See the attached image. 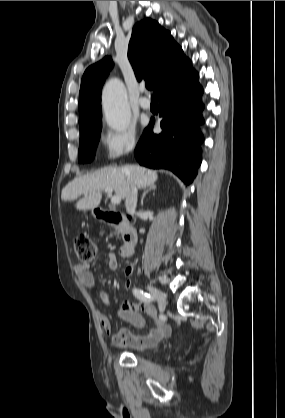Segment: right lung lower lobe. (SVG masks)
<instances>
[{"label":"right lung lower lobe","mask_w":285,"mask_h":418,"mask_svg":"<svg viewBox=\"0 0 285 418\" xmlns=\"http://www.w3.org/2000/svg\"><path fill=\"white\" fill-rule=\"evenodd\" d=\"M198 78L192 69L158 96L162 132L153 134L151 119L134 151L141 165L169 169L187 185L195 178L202 161L200 145L204 138L199 126L204 123V105Z\"/></svg>","instance_id":"right-lung-lower-lobe-1"}]
</instances>
